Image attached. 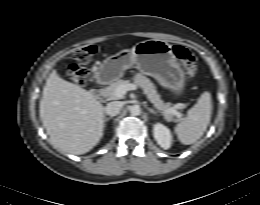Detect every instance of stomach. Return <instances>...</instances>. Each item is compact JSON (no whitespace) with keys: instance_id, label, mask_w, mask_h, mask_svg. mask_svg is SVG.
Returning a JSON list of instances; mask_svg holds the SVG:
<instances>
[{"instance_id":"0dacf381","label":"stomach","mask_w":260,"mask_h":205,"mask_svg":"<svg viewBox=\"0 0 260 205\" xmlns=\"http://www.w3.org/2000/svg\"><path fill=\"white\" fill-rule=\"evenodd\" d=\"M134 66L141 73L154 77L161 86L180 95L186 85V75L172 51V46L160 39H150L136 44L131 50H122L108 57L100 65L97 80L110 83Z\"/></svg>"}]
</instances>
